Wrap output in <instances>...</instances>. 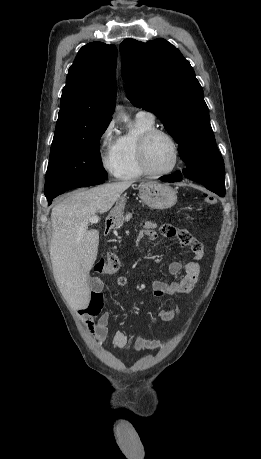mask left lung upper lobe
I'll use <instances>...</instances> for the list:
<instances>
[{
  "label": "left lung upper lobe",
  "instance_id": "obj_1",
  "mask_svg": "<svg viewBox=\"0 0 261 459\" xmlns=\"http://www.w3.org/2000/svg\"><path fill=\"white\" fill-rule=\"evenodd\" d=\"M120 51L129 100L161 119L179 144V155L187 165L183 175H224L203 90L189 61L164 39L147 43L126 39Z\"/></svg>",
  "mask_w": 261,
  "mask_h": 459
}]
</instances>
